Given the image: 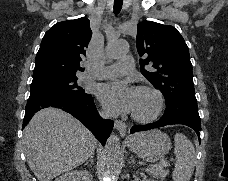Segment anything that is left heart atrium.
<instances>
[{"instance_id": "39dd6f15", "label": "left heart atrium", "mask_w": 228, "mask_h": 181, "mask_svg": "<svg viewBox=\"0 0 228 181\" xmlns=\"http://www.w3.org/2000/svg\"><path fill=\"white\" fill-rule=\"evenodd\" d=\"M100 96L115 112H129L134 109V91L122 81L102 85Z\"/></svg>"}]
</instances>
